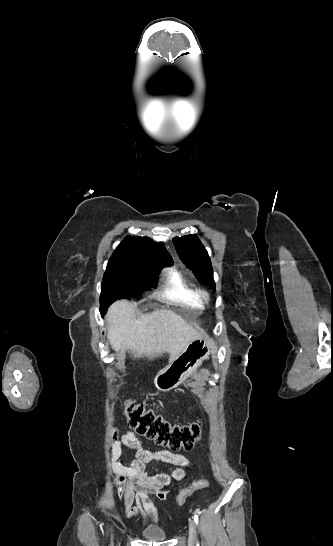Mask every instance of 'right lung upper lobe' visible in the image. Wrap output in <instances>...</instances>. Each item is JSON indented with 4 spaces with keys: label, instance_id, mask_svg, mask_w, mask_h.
<instances>
[{
    "label": "right lung upper lobe",
    "instance_id": "cb5924a9",
    "mask_svg": "<svg viewBox=\"0 0 333 546\" xmlns=\"http://www.w3.org/2000/svg\"><path fill=\"white\" fill-rule=\"evenodd\" d=\"M109 261L121 263L128 271L157 274L158 263L172 264V258L162 243L149 237L127 236L115 249Z\"/></svg>",
    "mask_w": 333,
    "mask_h": 546
}]
</instances>
